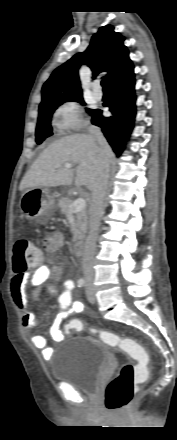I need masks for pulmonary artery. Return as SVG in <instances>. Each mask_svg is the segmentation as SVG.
<instances>
[{
	"mask_svg": "<svg viewBox=\"0 0 177 440\" xmlns=\"http://www.w3.org/2000/svg\"><path fill=\"white\" fill-rule=\"evenodd\" d=\"M102 96H103V94H102L101 91H99V89L95 88V89L93 90V97H94L96 100H100V99H102Z\"/></svg>",
	"mask_w": 177,
	"mask_h": 440,
	"instance_id": "pulmonary-artery-1",
	"label": "pulmonary artery"
}]
</instances>
